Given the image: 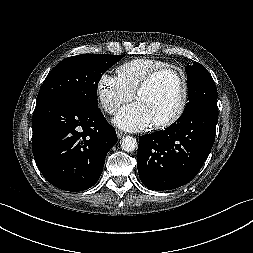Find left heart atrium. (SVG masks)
Returning a JSON list of instances; mask_svg holds the SVG:
<instances>
[{
    "label": "left heart atrium",
    "mask_w": 253,
    "mask_h": 253,
    "mask_svg": "<svg viewBox=\"0 0 253 253\" xmlns=\"http://www.w3.org/2000/svg\"><path fill=\"white\" fill-rule=\"evenodd\" d=\"M113 121L118 127L127 131H139L153 123L148 110L138 102L122 108Z\"/></svg>",
    "instance_id": "obj_1"
}]
</instances>
